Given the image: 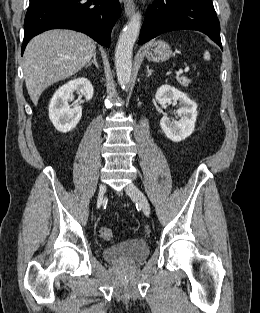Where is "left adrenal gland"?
Instances as JSON below:
<instances>
[{"label": "left adrenal gland", "mask_w": 260, "mask_h": 313, "mask_svg": "<svg viewBox=\"0 0 260 313\" xmlns=\"http://www.w3.org/2000/svg\"><path fill=\"white\" fill-rule=\"evenodd\" d=\"M147 67V77H149V76H151V74L154 72V70H152V69H149V66L147 65L146 66Z\"/></svg>", "instance_id": "1"}]
</instances>
